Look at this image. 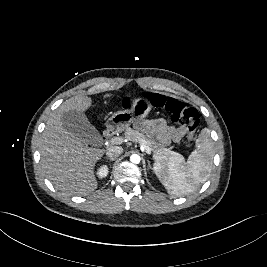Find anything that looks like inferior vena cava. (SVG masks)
Listing matches in <instances>:
<instances>
[{
  "label": "inferior vena cava",
  "instance_id": "1",
  "mask_svg": "<svg viewBox=\"0 0 267 267\" xmlns=\"http://www.w3.org/2000/svg\"><path fill=\"white\" fill-rule=\"evenodd\" d=\"M123 152V148L121 146H111L106 150V155L110 159H115L119 157Z\"/></svg>",
  "mask_w": 267,
  "mask_h": 267
}]
</instances>
